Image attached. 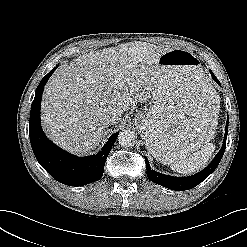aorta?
I'll return each instance as SVG.
<instances>
[{
  "mask_svg": "<svg viewBox=\"0 0 247 247\" xmlns=\"http://www.w3.org/2000/svg\"><path fill=\"white\" fill-rule=\"evenodd\" d=\"M118 142L123 147L132 146L135 143V134L131 130H123L118 135Z\"/></svg>",
  "mask_w": 247,
  "mask_h": 247,
  "instance_id": "obj_1",
  "label": "aorta"
}]
</instances>
